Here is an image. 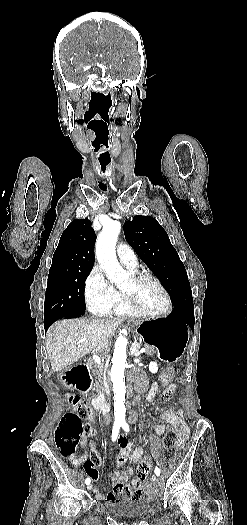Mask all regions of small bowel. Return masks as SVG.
Instances as JSON below:
<instances>
[{
    "mask_svg": "<svg viewBox=\"0 0 247 525\" xmlns=\"http://www.w3.org/2000/svg\"><path fill=\"white\" fill-rule=\"evenodd\" d=\"M175 384H171L168 388L171 391L175 389ZM159 388L160 387H153V385L150 387L148 392L145 394V400L148 402L153 401L157 395L159 394ZM168 425H173L177 432L183 440H185L188 436V429L184 423V421L181 419L180 411H177L175 409L166 410L161 414L160 417L157 418L154 424V435L156 437L161 436ZM90 434H85L80 443L82 448H86L88 442H89ZM116 443L119 446V451L115 455V460L118 464L119 470L114 471L110 473L107 477L111 480L113 483V489L111 492H109L107 495H103L104 491L102 488L97 487L94 489L93 494L97 498L103 499L104 506H119L121 503V491H122V485H124L132 476V470L130 468L125 467L127 460H130L134 464H138L142 457L145 456L146 459L154 458L158 463H161L163 461V456L159 452L158 449H153L151 454H146V445L143 444L138 447H134L133 443L130 442L127 437L121 433H119L116 436ZM69 461L74 467L84 466L85 471L90 476V479L92 481H97L99 479V476L97 474H92L91 465H96L95 462L98 461L97 466L99 468H102L104 466V463L101 461L100 457L96 453H91L90 455L87 453H84L81 456H75L71 455L69 456ZM127 488H131L132 491H134L137 495L129 498L131 501H137L141 497L142 490L140 482L138 480H134L131 485H127Z\"/></svg>",
    "mask_w": 247,
    "mask_h": 525,
    "instance_id": "1",
    "label": "small bowel"
}]
</instances>
